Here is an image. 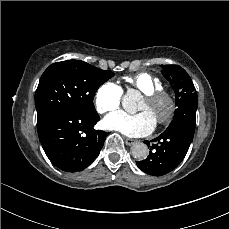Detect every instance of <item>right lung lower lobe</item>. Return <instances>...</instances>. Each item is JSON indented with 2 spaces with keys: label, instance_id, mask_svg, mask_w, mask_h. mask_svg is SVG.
Here are the masks:
<instances>
[{
  "label": "right lung lower lobe",
  "instance_id": "obj_1",
  "mask_svg": "<svg viewBox=\"0 0 229 229\" xmlns=\"http://www.w3.org/2000/svg\"><path fill=\"white\" fill-rule=\"evenodd\" d=\"M99 120V115L88 117L75 111L54 115L38 129L49 160L67 172L85 169L98 157L108 135L93 128Z\"/></svg>",
  "mask_w": 229,
  "mask_h": 229
}]
</instances>
